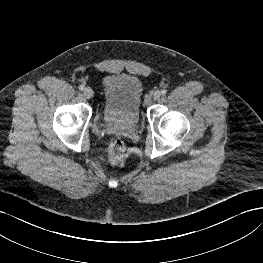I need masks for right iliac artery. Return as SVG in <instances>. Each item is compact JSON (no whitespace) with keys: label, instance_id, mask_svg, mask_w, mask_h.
I'll return each mask as SVG.
<instances>
[{"label":"right iliac artery","instance_id":"right-iliac-artery-1","mask_svg":"<svg viewBox=\"0 0 263 263\" xmlns=\"http://www.w3.org/2000/svg\"><path fill=\"white\" fill-rule=\"evenodd\" d=\"M79 90L83 91V90H84V86H83V85H80V86H79Z\"/></svg>","mask_w":263,"mask_h":263}]
</instances>
